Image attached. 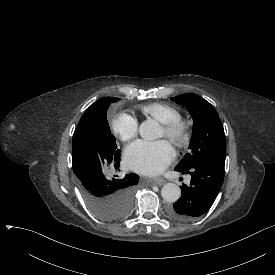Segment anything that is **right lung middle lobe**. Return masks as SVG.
I'll list each match as a JSON object with an SVG mask.
<instances>
[{"instance_id": "dd1d6c3e", "label": "right lung middle lobe", "mask_w": 275, "mask_h": 275, "mask_svg": "<svg viewBox=\"0 0 275 275\" xmlns=\"http://www.w3.org/2000/svg\"><path fill=\"white\" fill-rule=\"evenodd\" d=\"M119 99L104 97L92 104L82 115L72 141L78 188L88 207L98 217L111 221L129 213L139 181L120 159L107 122L108 106Z\"/></svg>"}]
</instances>
